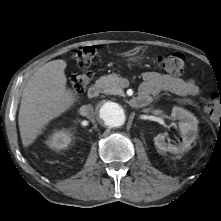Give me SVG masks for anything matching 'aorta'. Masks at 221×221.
<instances>
[{
  "label": "aorta",
  "mask_w": 221,
  "mask_h": 221,
  "mask_svg": "<svg viewBox=\"0 0 221 221\" xmlns=\"http://www.w3.org/2000/svg\"><path fill=\"white\" fill-rule=\"evenodd\" d=\"M98 119L106 126L120 127L126 121L125 108L117 102L106 101L98 109Z\"/></svg>",
  "instance_id": "1"
}]
</instances>
